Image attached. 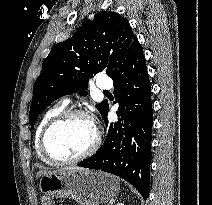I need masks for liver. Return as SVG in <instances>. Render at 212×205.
I'll return each mask as SVG.
<instances>
[{"label": "liver", "instance_id": "liver-1", "mask_svg": "<svg viewBox=\"0 0 212 205\" xmlns=\"http://www.w3.org/2000/svg\"><path fill=\"white\" fill-rule=\"evenodd\" d=\"M64 170H69V169H74V170H85L84 168H80V167H67V168H63ZM61 170V169H60ZM42 174H47V172H38L37 173V178L40 177Z\"/></svg>", "mask_w": 212, "mask_h": 205}]
</instances>
